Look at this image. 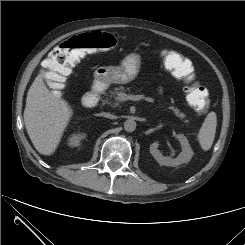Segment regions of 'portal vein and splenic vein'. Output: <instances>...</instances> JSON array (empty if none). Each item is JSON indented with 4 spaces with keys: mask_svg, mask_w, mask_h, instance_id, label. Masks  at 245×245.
I'll list each match as a JSON object with an SVG mask.
<instances>
[{
    "mask_svg": "<svg viewBox=\"0 0 245 245\" xmlns=\"http://www.w3.org/2000/svg\"><path fill=\"white\" fill-rule=\"evenodd\" d=\"M141 99V95H128L126 93H120L118 96V100L121 102L127 101V100H133V101H137Z\"/></svg>",
    "mask_w": 245,
    "mask_h": 245,
    "instance_id": "1",
    "label": "portal vein and splenic vein"
}]
</instances>
